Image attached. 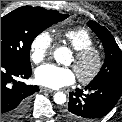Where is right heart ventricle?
<instances>
[{"mask_svg": "<svg viewBox=\"0 0 122 122\" xmlns=\"http://www.w3.org/2000/svg\"><path fill=\"white\" fill-rule=\"evenodd\" d=\"M59 36L75 51L94 46L95 44V39L92 34L84 28L67 30L63 33H60Z\"/></svg>", "mask_w": 122, "mask_h": 122, "instance_id": "obj_1", "label": "right heart ventricle"}]
</instances>
